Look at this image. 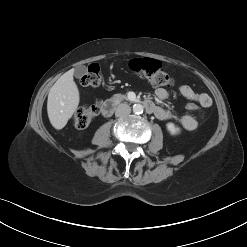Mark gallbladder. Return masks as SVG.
I'll return each instance as SVG.
<instances>
[{
  "label": "gallbladder",
  "instance_id": "1",
  "mask_svg": "<svg viewBox=\"0 0 247 247\" xmlns=\"http://www.w3.org/2000/svg\"><path fill=\"white\" fill-rule=\"evenodd\" d=\"M85 73H86V67L85 66H78L75 68L74 75L76 77H81Z\"/></svg>",
  "mask_w": 247,
  "mask_h": 247
}]
</instances>
